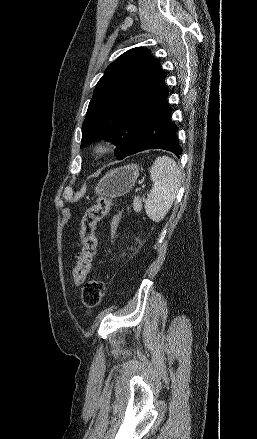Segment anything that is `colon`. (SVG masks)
<instances>
[{
  "label": "colon",
  "instance_id": "obj_1",
  "mask_svg": "<svg viewBox=\"0 0 257 439\" xmlns=\"http://www.w3.org/2000/svg\"><path fill=\"white\" fill-rule=\"evenodd\" d=\"M113 204L114 200L112 198L106 196L99 197L92 206L86 209L81 219L80 237L82 247L77 254V262L73 269V282L75 285L82 284L89 272L97 247L96 225L108 213ZM123 213L121 209L115 214L112 223L113 233H115ZM104 293L105 284L102 279L93 278L87 281L81 292L84 306L88 310L97 308L103 299Z\"/></svg>",
  "mask_w": 257,
  "mask_h": 439
}]
</instances>
